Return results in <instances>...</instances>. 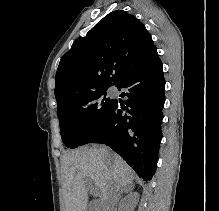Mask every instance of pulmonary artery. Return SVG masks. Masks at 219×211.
<instances>
[{"instance_id": "e3ab8cb5", "label": "pulmonary artery", "mask_w": 219, "mask_h": 211, "mask_svg": "<svg viewBox=\"0 0 219 211\" xmlns=\"http://www.w3.org/2000/svg\"><path fill=\"white\" fill-rule=\"evenodd\" d=\"M111 92H115V90H111ZM113 95H115V94H113Z\"/></svg>"}]
</instances>
